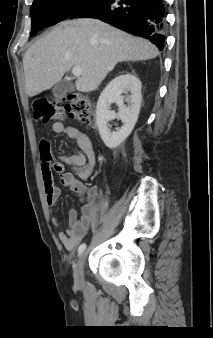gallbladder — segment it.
Listing matches in <instances>:
<instances>
[{
  "instance_id": "bac80fb5",
  "label": "gallbladder",
  "mask_w": 213,
  "mask_h": 338,
  "mask_svg": "<svg viewBox=\"0 0 213 338\" xmlns=\"http://www.w3.org/2000/svg\"><path fill=\"white\" fill-rule=\"evenodd\" d=\"M74 90H75V87L71 82L67 80H61L60 82L55 84V86L52 89V92H53V96L56 99H61L67 93L73 92Z\"/></svg>"
}]
</instances>
